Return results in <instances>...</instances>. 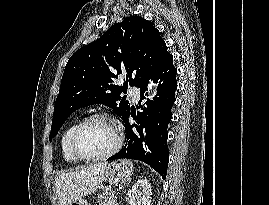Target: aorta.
<instances>
[{
    "label": "aorta",
    "instance_id": "aorta-1",
    "mask_svg": "<svg viewBox=\"0 0 269 205\" xmlns=\"http://www.w3.org/2000/svg\"><path fill=\"white\" fill-rule=\"evenodd\" d=\"M148 94L150 98H153L156 94V89L154 90V84L152 82H150L148 85Z\"/></svg>",
    "mask_w": 269,
    "mask_h": 205
}]
</instances>
